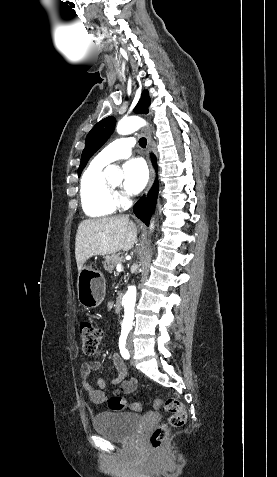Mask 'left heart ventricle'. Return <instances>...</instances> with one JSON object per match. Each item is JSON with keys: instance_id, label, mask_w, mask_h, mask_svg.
I'll return each mask as SVG.
<instances>
[{"instance_id": "b2bd125f", "label": "left heart ventricle", "mask_w": 277, "mask_h": 477, "mask_svg": "<svg viewBox=\"0 0 277 477\" xmlns=\"http://www.w3.org/2000/svg\"><path fill=\"white\" fill-rule=\"evenodd\" d=\"M109 182L115 187H118L120 185L119 179H111Z\"/></svg>"}]
</instances>
